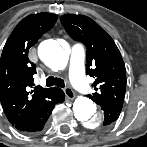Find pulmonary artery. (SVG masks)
Returning a JSON list of instances; mask_svg holds the SVG:
<instances>
[{"instance_id": "1", "label": "pulmonary artery", "mask_w": 147, "mask_h": 147, "mask_svg": "<svg viewBox=\"0 0 147 147\" xmlns=\"http://www.w3.org/2000/svg\"><path fill=\"white\" fill-rule=\"evenodd\" d=\"M84 53L78 46H74L70 60V78L75 88L82 94L88 89L86 77L83 73Z\"/></svg>"}]
</instances>
